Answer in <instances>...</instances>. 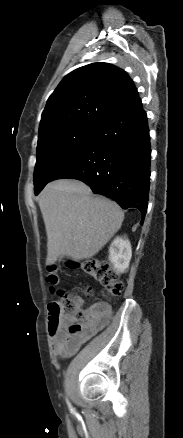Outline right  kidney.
Instances as JSON below:
<instances>
[{
	"label": "right kidney",
	"instance_id": "ca27d5eb",
	"mask_svg": "<svg viewBox=\"0 0 183 438\" xmlns=\"http://www.w3.org/2000/svg\"><path fill=\"white\" fill-rule=\"evenodd\" d=\"M132 256L131 244L128 239L116 237L109 248V261L118 273H124L129 267Z\"/></svg>",
	"mask_w": 183,
	"mask_h": 438
}]
</instances>
